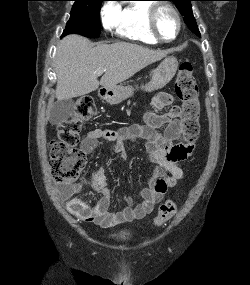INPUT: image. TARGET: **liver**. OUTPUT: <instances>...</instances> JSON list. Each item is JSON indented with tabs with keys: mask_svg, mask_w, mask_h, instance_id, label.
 <instances>
[{
	"mask_svg": "<svg viewBox=\"0 0 250 285\" xmlns=\"http://www.w3.org/2000/svg\"><path fill=\"white\" fill-rule=\"evenodd\" d=\"M166 54L127 42L94 46L80 35H68L57 45L56 98L60 101L83 96L97 90L99 85L114 88ZM102 69L106 71L99 82L97 72Z\"/></svg>",
	"mask_w": 250,
	"mask_h": 285,
	"instance_id": "1",
	"label": "liver"
}]
</instances>
